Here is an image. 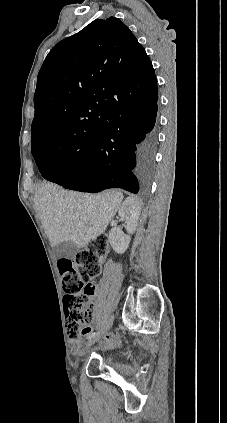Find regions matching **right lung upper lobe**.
Masks as SVG:
<instances>
[{
    "instance_id": "right-lung-upper-lobe-1",
    "label": "right lung upper lobe",
    "mask_w": 227,
    "mask_h": 423,
    "mask_svg": "<svg viewBox=\"0 0 227 423\" xmlns=\"http://www.w3.org/2000/svg\"><path fill=\"white\" fill-rule=\"evenodd\" d=\"M157 91L151 61L118 18L96 19L60 41L37 78L32 141L58 136L73 145L94 142L109 123L108 108Z\"/></svg>"
}]
</instances>
